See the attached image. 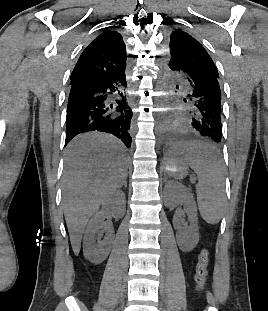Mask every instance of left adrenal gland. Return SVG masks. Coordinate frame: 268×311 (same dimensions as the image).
<instances>
[{
  "label": "left adrenal gland",
  "mask_w": 268,
  "mask_h": 311,
  "mask_svg": "<svg viewBox=\"0 0 268 311\" xmlns=\"http://www.w3.org/2000/svg\"><path fill=\"white\" fill-rule=\"evenodd\" d=\"M166 181H167V178L164 179V182H166Z\"/></svg>",
  "instance_id": "left-adrenal-gland-1"
}]
</instances>
